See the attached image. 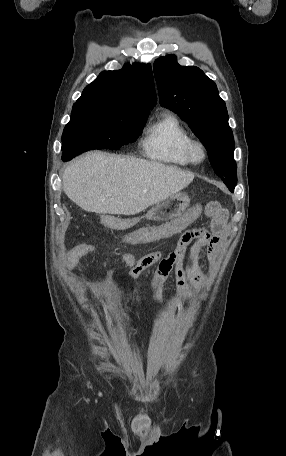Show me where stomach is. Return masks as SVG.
I'll use <instances>...</instances> for the list:
<instances>
[{"label":"stomach","mask_w":286,"mask_h":456,"mask_svg":"<svg viewBox=\"0 0 286 456\" xmlns=\"http://www.w3.org/2000/svg\"><path fill=\"white\" fill-rule=\"evenodd\" d=\"M190 205V198L184 193H175L157 203L146 214V218L154 221H165L180 216Z\"/></svg>","instance_id":"1"}]
</instances>
